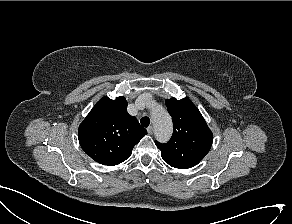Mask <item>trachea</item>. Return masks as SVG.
Returning <instances> with one entry per match:
<instances>
[{"label":"trachea","mask_w":292,"mask_h":224,"mask_svg":"<svg viewBox=\"0 0 292 224\" xmlns=\"http://www.w3.org/2000/svg\"><path fill=\"white\" fill-rule=\"evenodd\" d=\"M140 123H141L142 126L148 127L149 124H150L149 117H143V118H141Z\"/></svg>","instance_id":"1"}]
</instances>
